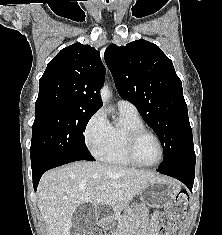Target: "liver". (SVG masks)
Returning <instances> with one entry per match:
<instances>
[{
    "label": "liver",
    "mask_w": 222,
    "mask_h": 235,
    "mask_svg": "<svg viewBox=\"0 0 222 235\" xmlns=\"http://www.w3.org/2000/svg\"><path fill=\"white\" fill-rule=\"evenodd\" d=\"M153 172L100 162H74L46 172L38 185V208L48 235H70L72 216L83 203L115 207L131 200L151 182ZM106 185L103 190L97 186Z\"/></svg>",
    "instance_id": "obj_1"
}]
</instances>
